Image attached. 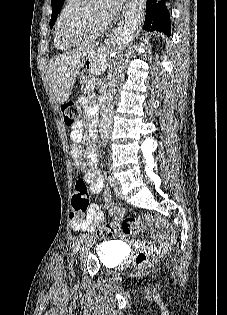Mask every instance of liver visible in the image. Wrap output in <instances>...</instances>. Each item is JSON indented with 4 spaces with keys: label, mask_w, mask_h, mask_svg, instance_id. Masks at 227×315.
<instances>
[{
    "label": "liver",
    "mask_w": 227,
    "mask_h": 315,
    "mask_svg": "<svg viewBox=\"0 0 227 315\" xmlns=\"http://www.w3.org/2000/svg\"><path fill=\"white\" fill-rule=\"evenodd\" d=\"M90 54L94 55L93 61L97 67L96 70H106L108 52L105 49L97 48V45L80 47L51 60L48 70L50 86L59 104H63L69 99L75 79Z\"/></svg>",
    "instance_id": "liver-1"
}]
</instances>
